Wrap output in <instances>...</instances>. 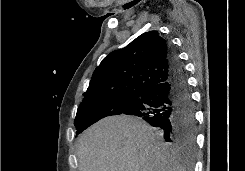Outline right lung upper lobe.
I'll return each mask as SVG.
<instances>
[{"instance_id":"obj_1","label":"right lung upper lobe","mask_w":245,"mask_h":171,"mask_svg":"<svg viewBox=\"0 0 245 171\" xmlns=\"http://www.w3.org/2000/svg\"><path fill=\"white\" fill-rule=\"evenodd\" d=\"M169 42L157 31L143 33L107 55L95 69L83 101L119 95L141 97L170 75Z\"/></svg>"}]
</instances>
